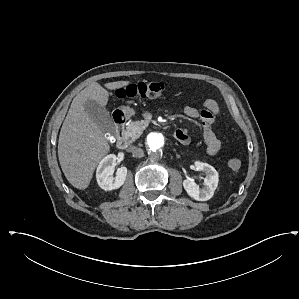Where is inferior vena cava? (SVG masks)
<instances>
[{
  "instance_id": "1",
  "label": "inferior vena cava",
  "mask_w": 299,
  "mask_h": 299,
  "mask_svg": "<svg viewBox=\"0 0 299 299\" xmlns=\"http://www.w3.org/2000/svg\"><path fill=\"white\" fill-rule=\"evenodd\" d=\"M128 151L131 152L135 157L141 158L144 155V151L141 148H138L136 146H130L128 148Z\"/></svg>"
}]
</instances>
